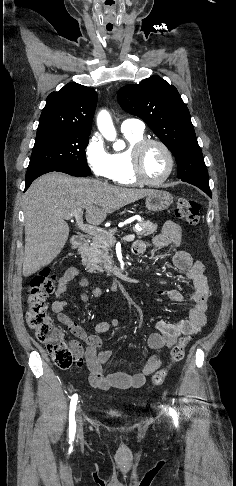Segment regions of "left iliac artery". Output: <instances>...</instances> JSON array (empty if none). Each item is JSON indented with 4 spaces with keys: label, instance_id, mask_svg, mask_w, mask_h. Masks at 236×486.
Wrapping results in <instances>:
<instances>
[{
    "label": "left iliac artery",
    "instance_id": "1",
    "mask_svg": "<svg viewBox=\"0 0 236 486\" xmlns=\"http://www.w3.org/2000/svg\"><path fill=\"white\" fill-rule=\"evenodd\" d=\"M169 412H170V414H171V416H172V418L174 420L175 426L178 427V423L179 422H178V416H177L176 411L174 409H172V408H169Z\"/></svg>",
    "mask_w": 236,
    "mask_h": 486
}]
</instances>
